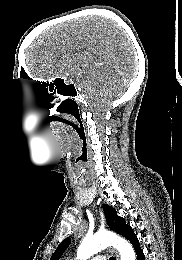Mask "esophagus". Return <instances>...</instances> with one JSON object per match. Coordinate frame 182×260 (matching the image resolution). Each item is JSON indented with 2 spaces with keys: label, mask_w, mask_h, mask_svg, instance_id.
<instances>
[{
  "label": "esophagus",
  "mask_w": 182,
  "mask_h": 260,
  "mask_svg": "<svg viewBox=\"0 0 182 260\" xmlns=\"http://www.w3.org/2000/svg\"><path fill=\"white\" fill-rule=\"evenodd\" d=\"M115 256H116V259L119 260V254L117 251H115Z\"/></svg>",
  "instance_id": "34e87169"
}]
</instances>
